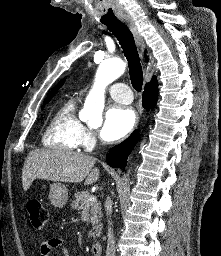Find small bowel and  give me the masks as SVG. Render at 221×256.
<instances>
[{
    "instance_id": "obj_1",
    "label": "small bowel",
    "mask_w": 221,
    "mask_h": 256,
    "mask_svg": "<svg viewBox=\"0 0 221 256\" xmlns=\"http://www.w3.org/2000/svg\"><path fill=\"white\" fill-rule=\"evenodd\" d=\"M54 251H58L61 256H69L66 250V242L61 238H51L42 242L40 246L41 256H51Z\"/></svg>"
}]
</instances>
